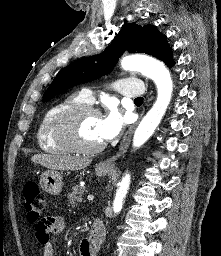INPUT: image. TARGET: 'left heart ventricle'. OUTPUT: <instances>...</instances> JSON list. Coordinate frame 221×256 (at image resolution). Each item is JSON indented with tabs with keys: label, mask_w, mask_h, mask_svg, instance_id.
Here are the masks:
<instances>
[{
	"label": "left heart ventricle",
	"mask_w": 221,
	"mask_h": 256,
	"mask_svg": "<svg viewBox=\"0 0 221 256\" xmlns=\"http://www.w3.org/2000/svg\"><path fill=\"white\" fill-rule=\"evenodd\" d=\"M99 121L100 117L95 114H88L81 119L78 137L82 144L95 146L102 143L98 132Z\"/></svg>",
	"instance_id": "obj_1"
}]
</instances>
